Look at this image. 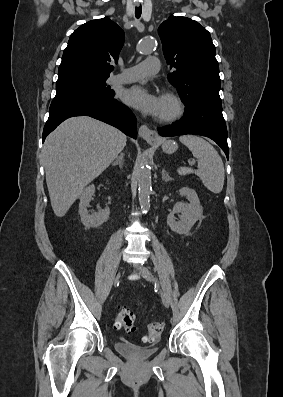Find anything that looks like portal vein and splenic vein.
Wrapping results in <instances>:
<instances>
[{
  "label": "portal vein and splenic vein",
  "instance_id": "obj_1",
  "mask_svg": "<svg viewBox=\"0 0 283 397\" xmlns=\"http://www.w3.org/2000/svg\"><path fill=\"white\" fill-rule=\"evenodd\" d=\"M189 164L192 166V165H194V162L193 161H189Z\"/></svg>",
  "mask_w": 283,
  "mask_h": 397
}]
</instances>
